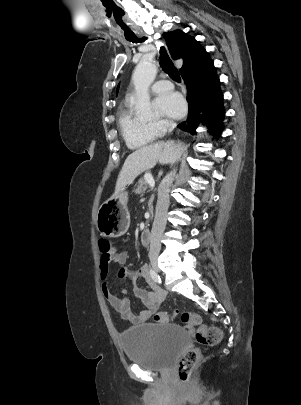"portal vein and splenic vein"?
Returning a JSON list of instances; mask_svg holds the SVG:
<instances>
[{"mask_svg": "<svg viewBox=\"0 0 301 405\" xmlns=\"http://www.w3.org/2000/svg\"><path fill=\"white\" fill-rule=\"evenodd\" d=\"M147 183L149 186L153 189L155 187V181L151 176L146 175L145 176Z\"/></svg>", "mask_w": 301, "mask_h": 405, "instance_id": "1", "label": "portal vein and splenic vein"}]
</instances>
